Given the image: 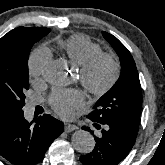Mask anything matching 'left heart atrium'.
Masks as SVG:
<instances>
[{"mask_svg":"<svg viewBox=\"0 0 165 165\" xmlns=\"http://www.w3.org/2000/svg\"><path fill=\"white\" fill-rule=\"evenodd\" d=\"M85 103V96L78 90L55 92L50 98V105L62 117L69 118Z\"/></svg>","mask_w":165,"mask_h":165,"instance_id":"1","label":"left heart atrium"}]
</instances>
